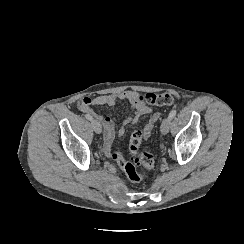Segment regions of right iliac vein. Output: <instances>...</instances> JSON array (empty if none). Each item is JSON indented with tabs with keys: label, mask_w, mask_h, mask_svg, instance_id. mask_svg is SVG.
<instances>
[{
	"label": "right iliac vein",
	"mask_w": 244,
	"mask_h": 244,
	"mask_svg": "<svg viewBox=\"0 0 244 244\" xmlns=\"http://www.w3.org/2000/svg\"><path fill=\"white\" fill-rule=\"evenodd\" d=\"M92 128L97 134L102 132L101 124L97 120H92Z\"/></svg>",
	"instance_id": "63e3f726"
}]
</instances>
